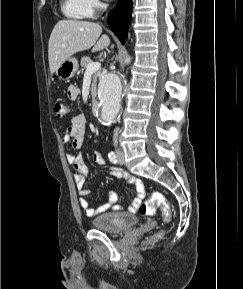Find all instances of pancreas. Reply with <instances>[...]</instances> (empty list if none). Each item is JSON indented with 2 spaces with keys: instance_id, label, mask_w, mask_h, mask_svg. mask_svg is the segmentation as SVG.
<instances>
[{
  "instance_id": "pancreas-1",
  "label": "pancreas",
  "mask_w": 243,
  "mask_h": 289,
  "mask_svg": "<svg viewBox=\"0 0 243 289\" xmlns=\"http://www.w3.org/2000/svg\"><path fill=\"white\" fill-rule=\"evenodd\" d=\"M81 66L83 69H87L88 64L92 63L90 57H82L81 58ZM100 72L96 71L92 75V85H91V96L92 99L96 97V86H97V78L99 77Z\"/></svg>"
}]
</instances>
